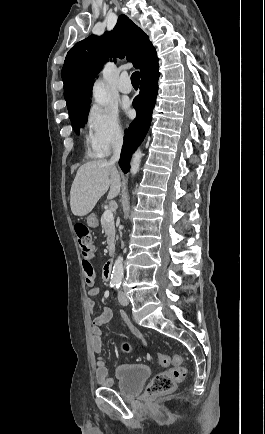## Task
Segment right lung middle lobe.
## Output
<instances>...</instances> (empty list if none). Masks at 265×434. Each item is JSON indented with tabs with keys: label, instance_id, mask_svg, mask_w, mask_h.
<instances>
[{
	"label": "right lung middle lobe",
	"instance_id": "right-lung-middle-lobe-1",
	"mask_svg": "<svg viewBox=\"0 0 265 434\" xmlns=\"http://www.w3.org/2000/svg\"><path fill=\"white\" fill-rule=\"evenodd\" d=\"M89 103L90 96L82 100L67 103L72 126L77 130V132H79V126L83 127L87 121V115L90 108Z\"/></svg>",
	"mask_w": 265,
	"mask_h": 434
}]
</instances>
